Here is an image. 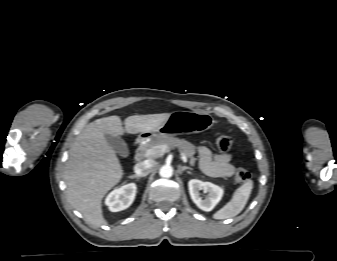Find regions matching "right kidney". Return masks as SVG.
Here are the masks:
<instances>
[{"label":"right kidney","mask_w":337,"mask_h":261,"mask_svg":"<svg viewBox=\"0 0 337 261\" xmlns=\"http://www.w3.org/2000/svg\"><path fill=\"white\" fill-rule=\"evenodd\" d=\"M136 184L129 183L113 190L106 197L105 204L112 212H118L128 208L134 201L136 195Z\"/></svg>","instance_id":"ca27d5eb"}]
</instances>
